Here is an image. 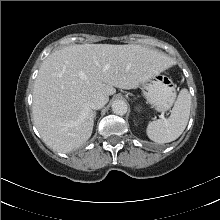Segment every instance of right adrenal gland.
Instances as JSON below:
<instances>
[{
	"mask_svg": "<svg viewBox=\"0 0 220 220\" xmlns=\"http://www.w3.org/2000/svg\"><path fill=\"white\" fill-rule=\"evenodd\" d=\"M93 117H94V118L96 117V111L93 112Z\"/></svg>",
	"mask_w": 220,
	"mask_h": 220,
	"instance_id": "2a0ac1e0",
	"label": "right adrenal gland"
}]
</instances>
